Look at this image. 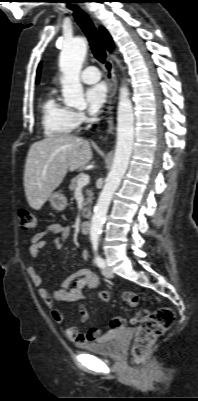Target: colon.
I'll list each match as a JSON object with an SVG mask.
<instances>
[{
  "label": "colon",
  "instance_id": "1",
  "mask_svg": "<svg viewBox=\"0 0 198 401\" xmlns=\"http://www.w3.org/2000/svg\"><path fill=\"white\" fill-rule=\"evenodd\" d=\"M20 228L23 231L31 232L37 229L38 221L36 216L28 210L18 212ZM123 300L131 307L138 306L140 297L137 293L126 291ZM139 322L134 343L131 348L132 363L141 365L150 353L156 340L174 323L175 314L169 307H159L154 311L140 309L136 314ZM108 325L112 329H119L126 325V320L122 317H115L109 320Z\"/></svg>",
  "mask_w": 198,
  "mask_h": 401
}]
</instances>
